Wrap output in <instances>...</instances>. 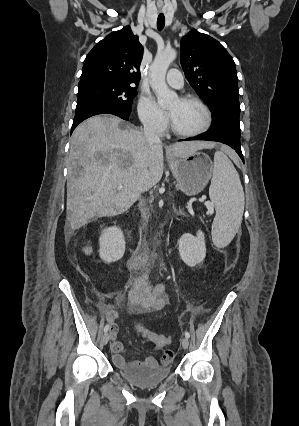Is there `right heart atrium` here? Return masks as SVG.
I'll use <instances>...</instances> for the list:
<instances>
[{
	"label": "right heart atrium",
	"mask_w": 299,
	"mask_h": 426,
	"mask_svg": "<svg viewBox=\"0 0 299 426\" xmlns=\"http://www.w3.org/2000/svg\"><path fill=\"white\" fill-rule=\"evenodd\" d=\"M138 115L142 124L149 130L163 132L167 127V118L148 93H143L138 102Z\"/></svg>",
	"instance_id": "obj_1"
}]
</instances>
